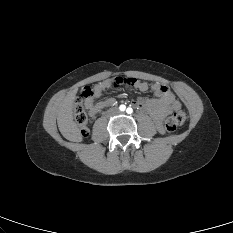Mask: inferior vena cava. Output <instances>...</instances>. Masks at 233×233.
Masks as SVG:
<instances>
[{
    "instance_id": "obj_1",
    "label": "inferior vena cava",
    "mask_w": 233,
    "mask_h": 233,
    "mask_svg": "<svg viewBox=\"0 0 233 233\" xmlns=\"http://www.w3.org/2000/svg\"><path fill=\"white\" fill-rule=\"evenodd\" d=\"M115 112H116V113H119V111H118V110H116Z\"/></svg>"
}]
</instances>
